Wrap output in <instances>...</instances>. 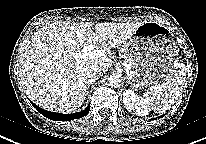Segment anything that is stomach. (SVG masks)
<instances>
[{"mask_svg": "<svg viewBox=\"0 0 206 144\" xmlns=\"http://www.w3.org/2000/svg\"><path fill=\"white\" fill-rule=\"evenodd\" d=\"M124 46L132 59L133 82L140 87L161 83L179 62L170 29L157 22L142 23Z\"/></svg>", "mask_w": 206, "mask_h": 144, "instance_id": "obj_1", "label": "stomach"}]
</instances>
